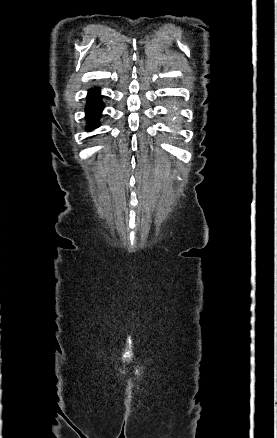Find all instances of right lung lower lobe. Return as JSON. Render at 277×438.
I'll return each instance as SVG.
<instances>
[{"instance_id": "obj_1", "label": "right lung lower lobe", "mask_w": 277, "mask_h": 438, "mask_svg": "<svg viewBox=\"0 0 277 438\" xmlns=\"http://www.w3.org/2000/svg\"><path fill=\"white\" fill-rule=\"evenodd\" d=\"M101 95L99 89H92L87 96L86 119L89 122V130L97 126L98 120L101 117L103 104L101 103Z\"/></svg>"}]
</instances>
